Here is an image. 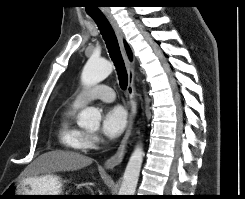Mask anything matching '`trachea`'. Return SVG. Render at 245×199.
<instances>
[{
	"instance_id": "3493384b",
	"label": "trachea",
	"mask_w": 245,
	"mask_h": 199,
	"mask_svg": "<svg viewBox=\"0 0 245 199\" xmlns=\"http://www.w3.org/2000/svg\"><path fill=\"white\" fill-rule=\"evenodd\" d=\"M98 25L103 39L107 45L108 52L116 67L120 87L125 90L128 85V75L120 52L116 35L104 15L91 16Z\"/></svg>"
}]
</instances>
